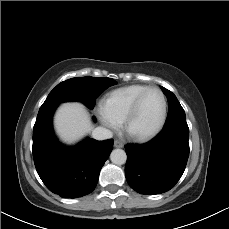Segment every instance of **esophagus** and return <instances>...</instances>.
<instances>
[{"instance_id": "esophagus-1", "label": "esophagus", "mask_w": 229, "mask_h": 229, "mask_svg": "<svg viewBox=\"0 0 229 229\" xmlns=\"http://www.w3.org/2000/svg\"><path fill=\"white\" fill-rule=\"evenodd\" d=\"M114 147H116V148H122L123 147V144L120 141L116 140V141H114Z\"/></svg>"}]
</instances>
